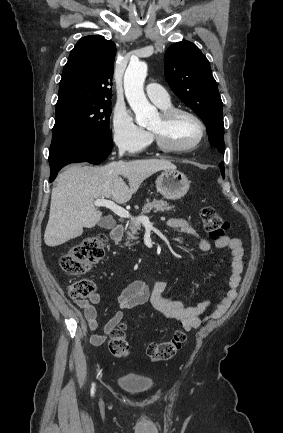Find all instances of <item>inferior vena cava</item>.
<instances>
[{
    "label": "inferior vena cava",
    "instance_id": "inferior-vena-cava-1",
    "mask_svg": "<svg viewBox=\"0 0 283 433\" xmlns=\"http://www.w3.org/2000/svg\"><path fill=\"white\" fill-rule=\"evenodd\" d=\"M123 152H125L124 148H120V150H119L120 156H122Z\"/></svg>",
    "mask_w": 283,
    "mask_h": 433
}]
</instances>
